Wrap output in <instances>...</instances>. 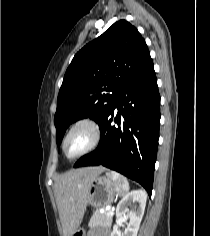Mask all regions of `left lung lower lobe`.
I'll return each mask as SVG.
<instances>
[{"instance_id":"0a47b994","label":"left lung lower lobe","mask_w":210,"mask_h":236,"mask_svg":"<svg viewBox=\"0 0 210 236\" xmlns=\"http://www.w3.org/2000/svg\"><path fill=\"white\" fill-rule=\"evenodd\" d=\"M115 108L118 114L112 125ZM160 126V95L152 60L119 92L100 124L96 150L74 167L103 165L140 183L152 193Z\"/></svg>"}]
</instances>
